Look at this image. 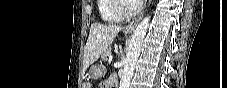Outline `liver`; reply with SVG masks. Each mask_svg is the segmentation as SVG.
I'll return each instance as SVG.
<instances>
[{"label":"liver","instance_id":"1","mask_svg":"<svg viewBox=\"0 0 227 88\" xmlns=\"http://www.w3.org/2000/svg\"><path fill=\"white\" fill-rule=\"evenodd\" d=\"M121 31L118 25L93 23L90 27L87 43L84 48L83 65L85 68L98 60Z\"/></svg>","mask_w":227,"mask_h":88}]
</instances>
